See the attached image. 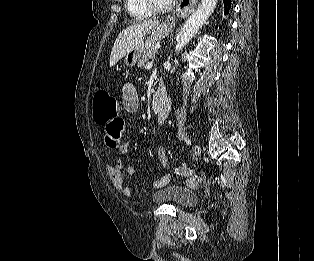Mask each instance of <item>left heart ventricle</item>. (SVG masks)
I'll list each match as a JSON object with an SVG mask.
<instances>
[{"instance_id":"1","label":"left heart ventricle","mask_w":314,"mask_h":261,"mask_svg":"<svg viewBox=\"0 0 314 261\" xmlns=\"http://www.w3.org/2000/svg\"><path fill=\"white\" fill-rule=\"evenodd\" d=\"M171 0H156V2L159 4V5H166L170 2Z\"/></svg>"}]
</instances>
